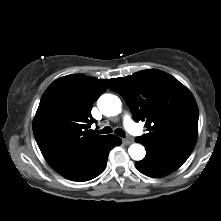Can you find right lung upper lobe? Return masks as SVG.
<instances>
[{
	"mask_svg": "<svg viewBox=\"0 0 221 221\" xmlns=\"http://www.w3.org/2000/svg\"><path fill=\"white\" fill-rule=\"evenodd\" d=\"M113 80L73 74L55 80L46 89L33 132L50 166L77 158L106 139L88 128L95 122L91 115L93 103Z\"/></svg>",
	"mask_w": 221,
	"mask_h": 221,
	"instance_id": "cb5924a9",
	"label": "right lung upper lobe"
}]
</instances>
